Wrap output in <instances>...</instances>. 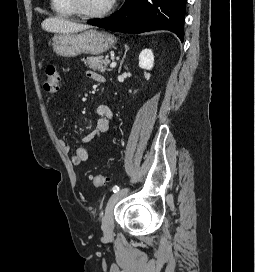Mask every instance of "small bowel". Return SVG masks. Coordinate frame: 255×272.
<instances>
[{"mask_svg":"<svg viewBox=\"0 0 255 272\" xmlns=\"http://www.w3.org/2000/svg\"><path fill=\"white\" fill-rule=\"evenodd\" d=\"M88 78L97 83L104 82V77L96 71H88ZM97 121L96 127L88 134L82 137L80 145L75 149L74 153L70 155V160L74 165L85 163L88 160V152L84 148L85 144L90 143L95 139L104 138L112 128L111 122L114 118V112L108 105L102 104L97 107ZM61 148L65 152L70 151V145L65 140H60Z\"/></svg>","mask_w":255,"mask_h":272,"instance_id":"small-bowel-1","label":"small bowel"}]
</instances>
